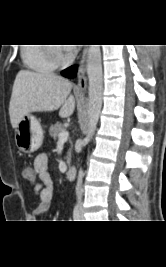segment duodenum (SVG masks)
Returning <instances> with one entry per match:
<instances>
[{"label":"duodenum","instance_id":"410a0bca","mask_svg":"<svg viewBox=\"0 0 166 267\" xmlns=\"http://www.w3.org/2000/svg\"><path fill=\"white\" fill-rule=\"evenodd\" d=\"M75 176H76V167L70 166L66 172V178L72 180L75 178Z\"/></svg>","mask_w":166,"mask_h":267}]
</instances>
